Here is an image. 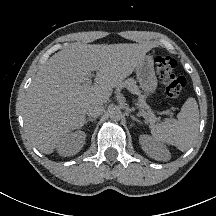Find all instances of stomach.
Instances as JSON below:
<instances>
[{
    "instance_id": "0dacf381",
    "label": "stomach",
    "mask_w": 216,
    "mask_h": 216,
    "mask_svg": "<svg viewBox=\"0 0 216 216\" xmlns=\"http://www.w3.org/2000/svg\"><path fill=\"white\" fill-rule=\"evenodd\" d=\"M135 71L139 86L144 93L143 97L146 100L156 92L158 86L153 57L145 56L142 62L136 67Z\"/></svg>"
}]
</instances>
